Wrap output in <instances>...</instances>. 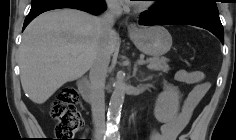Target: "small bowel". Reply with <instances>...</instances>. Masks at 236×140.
Masks as SVG:
<instances>
[{"label":"small bowel","instance_id":"c3829d8e","mask_svg":"<svg viewBox=\"0 0 236 140\" xmlns=\"http://www.w3.org/2000/svg\"><path fill=\"white\" fill-rule=\"evenodd\" d=\"M176 79L179 82L193 85V89L187 95L180 112L173 119L164 123L159 130L153 131L150 140H177L210 87V84L205 81L204 73L198 70H179L176 73Z\"/></svg>","mask_w":236,"mask_h":140}]
</instances>
